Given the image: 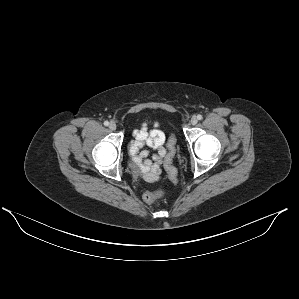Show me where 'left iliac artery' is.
Returning <instances> with one entry per match:
<instances>
[{"label":"left iliac artery","instance_id":"left-iliac-artery-1","mask_svg":"<svg viewBox=\"0 0 299 299\" xmlns=\"http://www.w3.org/2000/svg\"><path fill=\"white\" fill-rule=\"evenodd\" d=\"M197 118H198V120H202L203 117H202V115L199 114V115L197 116Z\"/></svg>","mask_w":299,"mask_h":299}]
</instances>
